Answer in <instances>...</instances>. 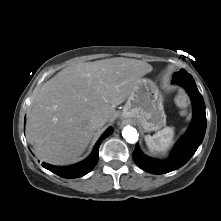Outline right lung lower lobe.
Segmentation results:
<instances>
[{
    "label": "right lung lower lobe",
    "mask_w": 221,
    "mask_h": 221,
    "mask_svg": "<svg viewBox=\"0 0 221 221\" xmlns=\"http://www.w3.org/2000/svg\"><path fill=\"white\" fill-rule=\"evenodd\" d=\"M112 132H113V128L112 127L108 128L105 131V133L97 141L91 155L87 159H85L84 161L78 164L68 166V167H58V166H53L47 163H42V166L63 178H78V177L84 176L89 171H91L92 168L96 165L98 161L99 145L102 142V140H104Z\"/></svg>",
    "instance_id": "right-lung-lower-lobe-1"
}]
</instances>
